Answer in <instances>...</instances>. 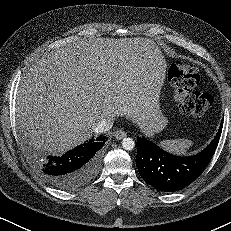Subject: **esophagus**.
<instances>
[{
	"mask_svg": "<svg viewBox=\"0 0 231 231\" xmlns=\"http://www.w3.org/2000/svg\"><path fill=\"white\" fill-rule=\"evenodd\" d=\"M114 136L117 140H121L126 137V132L122 129H119L114 132Z\"/></svg>",
	"mask_w": 231,
	"mask_h": 231,
	"instance_id": "obj_1",
	"label": "esophagus"
}]
</instances>
